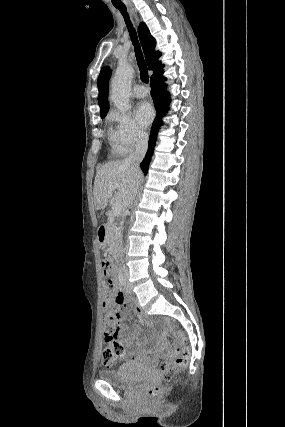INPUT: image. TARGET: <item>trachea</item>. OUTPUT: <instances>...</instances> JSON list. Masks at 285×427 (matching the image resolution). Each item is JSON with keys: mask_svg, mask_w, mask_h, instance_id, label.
Returning a JSON list of instances; mask_svg holds the SVG:
<instances>
[{"mask_svg": "<svg viewBox=\"0 0 285 427\" xmlns=\"http://www.w3.org/2000/svg\"><path fill=\"white\" fill-rule=\"evenodd\" d=\"M116 8L121 12V14L124 17L126 26L128 28V31H129V34L131 37V41L134 45V51H135L137 63H138L139 70H140L141 80L144 83H148L149 82L148 69H147V65L143 59V56H142V51H141L140 44H139V41L137 38L136 30L134 29V27L132 25V22L129 18L126 7H116Z\"/></svg>", "mask_w": 285, "mask_h": 427, "instance_id": "trachea-1", "label": "trachea"}]
</instances>
